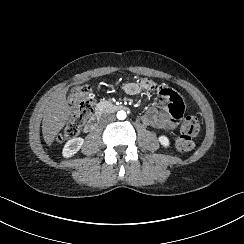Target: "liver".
I'll return each mask as SVG.
<instances>
[{
    "label": "liver",
    "mask_w": 244,
    "mask_h": 244,
    "mask_svg": "<svg viewBox=\"0 0 244 244\" xmlns=\"http://www.w3.org/2000/svg\"><path fill=\"white\" fill-rule=\"evenodd\" d=\"M90 79H84L82 82L86 83ZM68 88L56 93L49 102L46 114L43 117V137L46 144L51 145L55 137L63 129L66 122L73 115V109L66 99Z\"/></svg>",
    "instance_id": "liver-1"
}]
</instances>
